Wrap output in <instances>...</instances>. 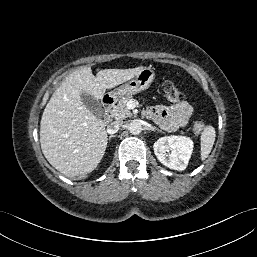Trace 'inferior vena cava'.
<instances>
[{
	"instance_id": "1",
	"label": "inferior vena cava",
	"mask_w": 257,
	"mask_h": 257,
	"mask_svg": "<svg viewBox=\"0 0 257 257\" xmlns=\"http://www.w3.org/2000/svg\"><path fill=\"white\" fill-rule=\"evenodd\" d=\"M123 125L121 121H114L108 125L107 133L108 134H115Z\"/></svg>"
}]
</instances>
